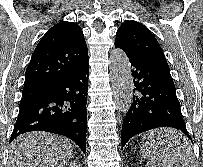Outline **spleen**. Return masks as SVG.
<instances>
[{"mask_svg":"<svg viewBox=\"0 0 203 167\" xmlns=\"http://www.w3.org/2000/svg\"><path fill=\"white\" fill-rule=\"evenodd\" d=\"M144 143L141 148L142 156L148 157L147 167H192V153L190 150V144L188 139L181 133L176 134L170 141L162 148L163 157H158L156 154V148L148 143L146 137H143ZM184 146L183 153L178 149H174V146ZM179 162H184V165H174Z\"/></svg>","mask_w":203,"mask_h":167,"instance_id":"obj_1","label":"spleen"}]
</instances>
